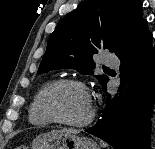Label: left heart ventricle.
<instances>
[{
    "mask_svg": "<svg viewBox=\"0 0 155 149\" xmlns=\"http://www.w3.org/2000/svg\"><path fill=\"white\" fill-rule=\"evenodd\" d=\"M49 100L53 110L60 117L69 121H81L90 112L88 97L77 86H60L53 90Z\"/></svg>",
    "mask_w": 155,
    "mask_h": 149,
    "instance_id": "1",
    "label": "left heart ventricle"
}]
</instances>
